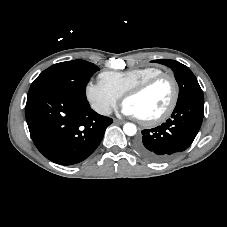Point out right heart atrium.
Masks as SVG:
<instances>
[{"mask_svg":"<svg viewBox=\"0 0 227 227\" xmlns=\"http://www.w3.org/2000/svg\"><path fill=\"white\" fill-rule=\"evenodd\" d=\"M85 94L91 107L101 115H109L116 108L119 96L101 81L88 82Z\"/></svg>","mask_w":227,"mask_h":227,"instance_id":"d8ad5b80","label":"right heart atrium"}]
</instances>
